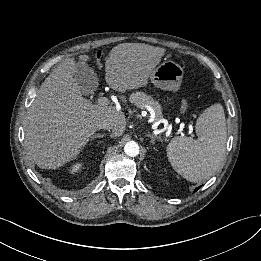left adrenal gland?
Segmentation results:
<instances>
[{"instance_id":"obj_1","label":"left adrenal gland","mask_w":261,"mask_h":261,"mask_svg":"<svg viewBox=\"0 0 261 261\" xmlns=\"http://www.w3.org/2000/svg\"><path fill=\"white\" fill-rule=\"evenodd\" d=\"M146 136H147V137H150L152 144H155V141H156V140L162 141V139H161L160 137L154 136V135H152V134H150V133H148Z\"/></svg>"}]
</instances>
